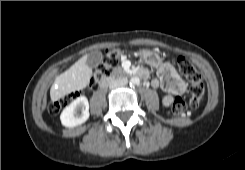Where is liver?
<instances>
[{
  "label": "liver",
  "mask_w": 245,
  "mask_h": 170,
  "mask_svg": "<svg viewBox=\"0 0 245 170\" xmlns=\"http://www.w3.org/2000/svg\"><path fill=\"white\" fill-rule=\"evenodd\" d=\"M87 56L81 57L69 69L56 77L50 90L53 102L74 91L82 90L89 84L92 69L86 64Z\"/></svg>",
  "instance_id": "obj_1"
}]
</instances>
